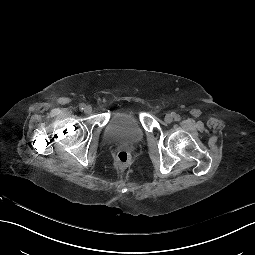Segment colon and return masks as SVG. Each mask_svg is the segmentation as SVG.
<instances>
[{
    "label": "colon",
    "mask_w": 255,
    "mask_h": 255,
    "mask_svg": "<svg viewBox=\"0 0 255 255\" xmlns=\"http://www.w3.org/2000/svg\"><path fill=\"white\" fill-rule=\"evenodd\" d=\"M116 161L119 165L125 166L130 161V156L126 151H119L116 155Z\"/></svg>",
    "instance_id": "1"
}]
</instances>
